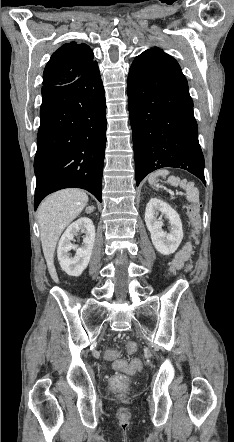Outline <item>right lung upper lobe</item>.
Listing matches in <instances>:
<instances>
[{
  "instance_id": "1",
  "label": "right lung upper lobe",
  "mask_w": 234,
  "mask_h": 442,
  "mask_svg": "<svg viewBox=\"0 0 234 442\" xmlns=\"http://www.w3.org/2000/svg\"><path fill=\"white\" fill-rule=\"evenodd\" d=\"M97 66L86 44L66 43L53 53L43 73V85L69 84Z\"/></svg>"
}]
</instances>
